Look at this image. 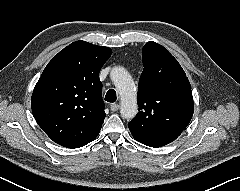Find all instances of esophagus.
Here are the masks:
<instances>
[{"mask_svg": "<svg viewBox=\"0 0 240 191\" xmlns=\"http://www.w3.org/2000/svg\"><path fill=\"white\" fill-rule=\"evenodd\" d=\"M110 109H111V111L116 112L119 110V105L113 103V104H111Z\"/></svg>", "mask_w": 240, "mask_h": 191, "instance_id": "esophagus-1", "label": "esophagus"}]
</instances>
